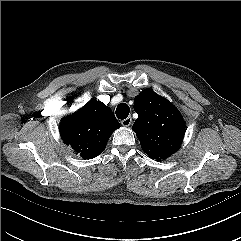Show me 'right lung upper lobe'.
Segmentation results:
<instances>
[{"label": "right lung upper lobe", "instance_id": "obj_1", "mask_svg": "<svg viewBox=\"0 0 241 241\" xmlns=\"http://www.w3.org/2000/svg\"><path fill=\"white\" fill-rule=\"evenodd\" d=\"M112 110L100 101L90 100L60 123L62 140L84 159L100 155L112 132L119 127Z\"/></svg>", "mask_w": 241, "mask_h": 241}]
</instances>
